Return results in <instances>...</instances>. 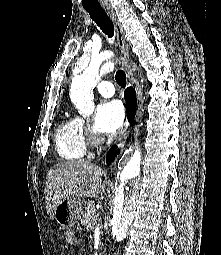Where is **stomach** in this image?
Wrapping results in <instances>:
<instances>
[{"label": "stomach", "instance_id": "0dacf381", "mask_svg": "<svg viewBox=\"0 0 221 255\" xmlns=\"http://www.w3.org/2000/svg\"><path fill=\"white\" fill-rule=\"evenodd\" d=\"M85 209V201L79 197H71L61 202L54 210V219L63 227L74 226Z\"/></svg>", "mask_w": 221, "mask_h": 255}]
</instances>
